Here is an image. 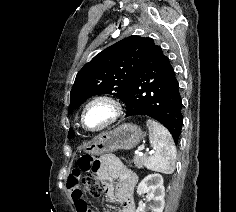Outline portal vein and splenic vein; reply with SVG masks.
Listing matches in <instances>:
<instances>
[{
	"mask_svg": "<svg viewBox=\"0 0 236 212\" xmlns=\"http://www.w3.org/2000/svg\"><path fill=\"white\" fill-rule=\"evenodd\" d=\"M142 150H143V148L140 147V148H138V149L136 150L135 153H137V154H139V155H143ZM150 153H153V152H150Z\"/></svg>",
	"mask_w": 236,
	"mask_h": 212,
	"instance_id": "obj_1",
	"label": "portal vein and splenic vein"
}]
</instances>
